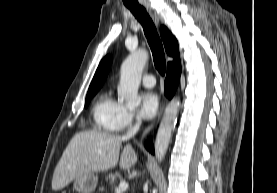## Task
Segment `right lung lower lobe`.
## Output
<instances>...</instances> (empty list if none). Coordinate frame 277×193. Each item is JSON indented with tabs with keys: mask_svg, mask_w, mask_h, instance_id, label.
<instances>
[{
	"mask_svg": "<svg viewBox=\"0 0 277 193\" xmlns=\"http://www.w3.org/2000/svg\"><path fill=\"white\" fill-rule=\"evenodd\" d=\"M181 74V65H180V57L174 59L173 62L168 63L167 65V75L164 83L165 95L171 99L176 91L180 80ZM146 149L154 154V146L152 141H148L145 143Z\"/></svg>",
	"mask_w": 277,
	"mask_h": 193,
	"instance_id": "98d812e1",
	"label": "right lung lower lobe"
}]
</instances>
